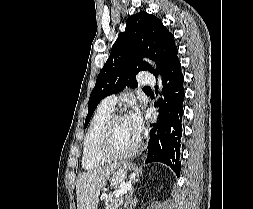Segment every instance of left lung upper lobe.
Segmentation results:
<instances>
[{
	"mask_svg": "<svg viewBox=\"0 0 253 209\" xmlns=\"http://www.w3.org/2000/svg\"><path fill=\"white\" fill-rule=\"evenodd\" d=\"M174 35L152 14L139 12L126 21V29L118 35L110 56L100 71L88 103L87 127L98 103L126 86L137 87L135 76L139 71L157 72L142 57L155 61L162 75L178 61Z\"/></svg>",
	"mask_w": 253,
	"mask_h": 209,
	"instance_id": "obj_1",
	"label": "left lung upper lobe"
}]
</instances>
